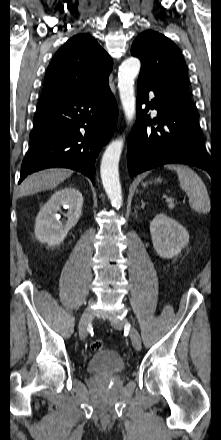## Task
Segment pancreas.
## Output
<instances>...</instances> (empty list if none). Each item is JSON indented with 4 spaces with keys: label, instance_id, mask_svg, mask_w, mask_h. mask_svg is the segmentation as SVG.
Wrapping results in <instances>:
<instances>
[{
    "label": "pancreas",
    "instance_id": "1",
    "mask_svg": "<svg viewBox=\"0 0 221 440\" xmlns=\"http://www.w3.org/2000/svg\"><path fill=\"white\" fill-rule=\"evenodd\" d=\"M168 207L170 209H173L175 207V204L173 203V201L168 202Z\"/></svg>",
    "mask_w": 221,
    "mask_h": 440
}]
</instances>
